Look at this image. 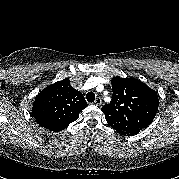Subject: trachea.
Here are the masks:
<instances>
[{
  "instance_id": "1",
  "label": "trachea",
  "mask_w": 179,
  "mask_h": 179,
  "mask_svg": "<svg viewBox=\"0 0 179 179\" xmlns=\"http://www.w3.org/2000/svg\"><path fill=\"white\" fill-rule=\"evenodd\" d=\"M86 99L88 102H94L95 100V93L94 92H88L86 95Z\"/></svg>"
}]
</instances>
